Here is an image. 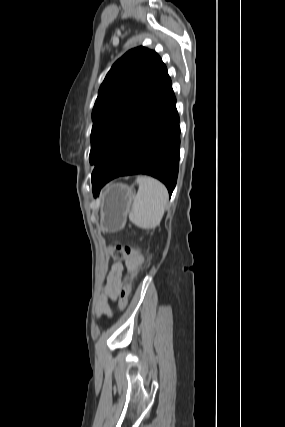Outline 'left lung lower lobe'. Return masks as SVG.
Segmentation results:
<instances>
[{"label": "left lung lower lobe", "mask_w": 285, "mask_h": 427, "mask_svg": "<svg viewBox=\"0 0 285 427\" xmlns=\"http://www.w3.org/2000/svg\"><path fill=\"white\" fill-rule=\"evenodd\" d=\"M176 99L167 74L155 96L131 122L114 146L95 163L94 196L111 179L147 174L162 181L171 196L178 175L180 149Z\"/></svg>", "instance_id": "obj_1"}]
</instances>
